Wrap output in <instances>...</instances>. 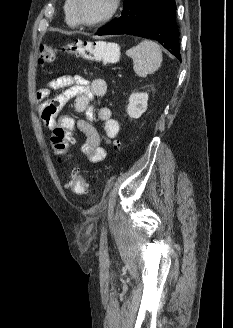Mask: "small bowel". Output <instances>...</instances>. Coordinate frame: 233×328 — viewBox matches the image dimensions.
Returning <instances> with one entry per match:
<instances>
[{"label":"small bowel","instance_id":"c3829d8e","mask_svg":"<svg viewBox=\"0 0 233 328\" xmlns=\"http://www.w3.org/2000/svg\"><path fill=\"white\" fill-rule=\"evenodd\" d=\"M55 89H63V92L51 100L47 99ZM106 91L107 85L103 79L88 80L81 75H63L39 89L36 95L41 119L50 130L56 124L59 111L69 100L74 99V109L85 116L76 122L77 129L84 137L81 151L93 163L100 162L106 157V150L101 145V136L92 124L94 117L97 116L103 123L106 143L115 138L120 130L110 108L100 107L96 111L93 104V101L102 98Z\"/></svg>","mask_w":233,"mask_h":328}]
</instances>
